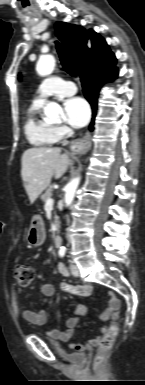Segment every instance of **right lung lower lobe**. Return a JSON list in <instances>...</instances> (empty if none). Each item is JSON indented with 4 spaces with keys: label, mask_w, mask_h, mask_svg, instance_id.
I'll return each instance as SVG.
<instances>
[{
    "label": "right lung lower lobe",
    "mask_w": 145,
    "mask_h": 385,
    "mask_svg": "<svg viewBox=\"0 0 145 385\" xmlns=\"http://www.w3.org/2000/svg\"><path fill=\"white\" fill-rule=\"evenodd\" d=\"M116 76L117 69L115 68V62L106 67L91 69L80 75L85 98L92 106V123L90 130L93 129V122L96 116L99 90L105 82L115 79Z\"/></svg>",
    "instance_id": "obj_1"
}]
</instances>
